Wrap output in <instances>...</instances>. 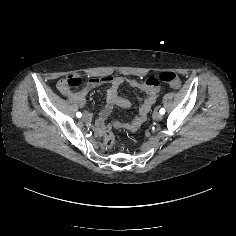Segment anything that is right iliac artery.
Returning <instances> with one entry per match:
<instances>
[{"label":"right iliac artery","mask_w":236,"mask_h":236,"mask_svg":"<svg viewBox=\"0 0 236 236\" xmlns=\"http://www.w3.org/2000/svg\"><path fill=\"white\" fill-rule=\"evenodd\" d=\"M76 116H77L78 118H80V117L82 116L81 112H77V113H76Z\"/></svg>","instance_id":"right-iliac-artery-1"}]
</instances>
